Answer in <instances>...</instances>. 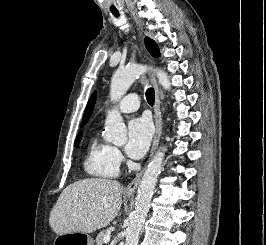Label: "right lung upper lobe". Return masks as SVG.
<instances>
[{
    "label": "right lung upper lobe",
    "mask_w": 266,
    "mask_h": 245,
    "mask_svg": "<svg viewBox=\"0 0 266 245\" xmlns=\"http://www.w3.org/2000/svg\"><path fill=\"white\" fill-rule=\"evenodd\" d=\"M95 101H96V94L93 93L88 101V104L86 106L85 112H84V116H83V120H82V125H85L87 123V121L89 120L91 113L93 111L94 105H95ZM81 125V126H82Z\"/></svg>",
    "instance_id": "cb5924a9"
}]
</instances>
